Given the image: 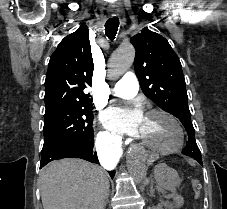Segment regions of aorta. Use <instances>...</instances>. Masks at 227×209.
<instances>
[{"instance_id":"1","label":"aorta","mask_w":227,"mask_h":209,"mask_svg":"<svg viewBox=\"0 0 227 209\" xmlns=\"http://www.w3.org/2000/svg\"><path fill=\"white\" fill-rule=\"evenodd\" d=\"M135 50L131 44L119 47L110 57L108 75L117 77L125 73L133 64ZM127 168L136 183L141 182L147 171L146 156L142 148L133 147L127 154Z\"/></svg>"}]
</instances>
